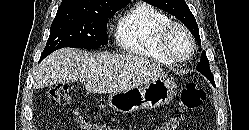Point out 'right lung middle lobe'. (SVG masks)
<instances>
[{
    "mask_svg": "<svg viewBox=\"0 0 249 130\" xmlns=\"http://www.w3.org/2000/svg\"><path fill=\"white\" fill-rule=\"evenodd\" d=\"M126 5L114 4L97 11L59 7L41 60L63 47L96 49L106 45L108 19Z\"/></svg>",
    "mask_w": 249,
    "mask_h": 130,
    "instance_id": "1",
    "label": "right lung middle lobe"
}]
</instances>
